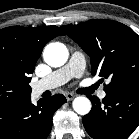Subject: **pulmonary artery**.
<instances>
[{"mask_svg": "<svg viewBox=\"0 0 139 139\" xmlns=\"http://www.w3.org/2000/svg\"><path fill=\"white\" fill-rule=\"evenodd\" d=\"M85 69V58L82 53L74 52L68 63L53 71L48 76L40 79L32 85V93L35 96L42 94L44 91L51 90L68 82L72 78H79ZM98 97L103 99L106 97V92L100 90Z\"/></svg>", "mask_w": 139, "mask_h": 139, "instance_id": "1", "label": "pulmonary artery"}]
</instances>
